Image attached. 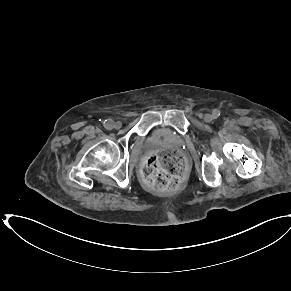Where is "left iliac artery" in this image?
<instances>
[{
	"mask_svg": "<svg viewBox=\"0 0 291 291\" xmlns=\"http://www.w3.org/2000/svg\"><path fill=\"white\" fill-rule=\"evenodd\" d=\"M212 115H213V118H218L219 116H220V111L219 110H217V109H215V110H213V113H212Z\"/></svg>",
	"mask_w": 291,
	"mask_h": 291,
	"instance_id": "left-iliac-artery-1",
	"label": "left iliac artery"
}]
</instances>
